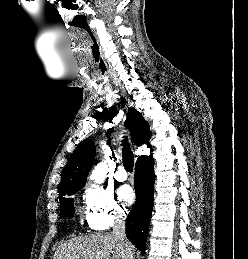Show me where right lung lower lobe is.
<instances>
[{
  "mask_svg": "<svg viewBox=\"0 0 248 259\" xmlns=\"http://www.w3.org/2000/svg\"><path fill=\"white\" fill-rule=\"evenodd\" d=\"M134 186L136 202L126 219V235L144 253L153 208L154 172L151 155L137 159Z\"/></svg>",
  "mask_w": 248,
  "mask_h": 259,
  "instance_id": "1",
  "label": "right lung lower lobe"
}]
</instances>
